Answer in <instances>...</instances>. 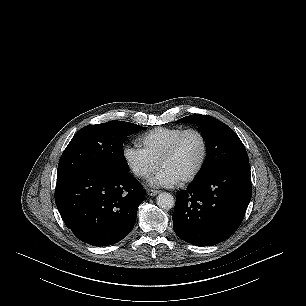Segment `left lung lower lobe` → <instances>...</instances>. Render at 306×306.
Returning <instances> with one entry per match:
<instances>
[{"instance_id": "0a47b994", "label": "left lung lower lobe", "mask_w": 306, "mask_h": 306, "mask_svg": "<svg viewBox=\"0 0 306 306\" xmlns=\"http://www.w3.org/2000/svg\"><path fill=\"white\" fill-rule=\"evenodd\" d=\"M251 195L249 165L224 167L197 177L176 197L173 229L193 245L218 244L238 229Z\"/></svg>"}]
</instances>
